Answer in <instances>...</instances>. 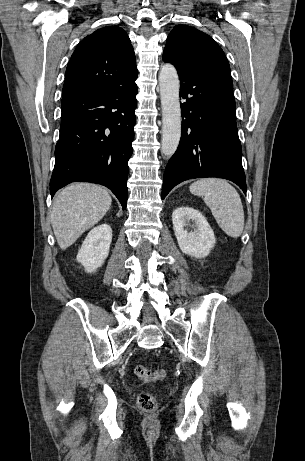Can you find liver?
<instances>
[{"mask_svg":"<svg viewBox=\"0 0 305 461\" xmlns=\"http://www.w3.org/2000/svg\"><path fill=\"white\" fill-rule=\"evenodd\" d=\"M111 203L109 193L95 184L76 183L59 192L51 214L59 247L65 250L71 246L105 216Z\"/></svg>","mask_w":305,"mask_h":461,"instance_id":"obj_1","label":"liver"}]
</instances>
